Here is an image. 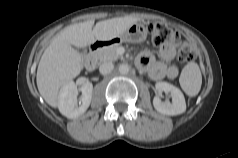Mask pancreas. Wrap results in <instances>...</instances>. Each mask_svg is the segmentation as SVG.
Listing matches in <instances>:
<instances>
[{
	"label": "pancreas",
	"instance_id": "obj_1",
	"mask_svg": "<svg viewBox=\"0 0 238 158\" xmlns=\"http://www.w3.org/2000/svg\"><path fill=\"white\" fill-rule=\"evenodd\" d=\"M118 47H119V44H114V45L99 49L96 52V58L100 62L116 61L117 59L120 58V55L117 53Z\"/></svg>",
	"mask_w": 238,
	"mask_h": 158
}]
</instances>
